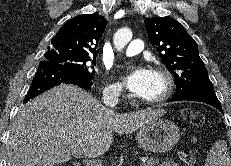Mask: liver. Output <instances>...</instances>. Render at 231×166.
Wrapping results in <instances>:
<instances>
[{
  "label": "liver",
  "mask_w": 231,
  "mask_h": 166,
  "mask_svg": "<svg viewBox=\"0 0 231 166\" xmlns=\"http://www.w3.org/2000/svg\"><path fill=\"white\" fill-rule=\"evenodd\" d=\"M147 108L117 113L74 85L62 84L23 106L10 126L7 166H55L97 158L110 148L113 132L130 134L164 115Z\"/></svg>",
  "instance_id": "liver-1"
}]
</instances>
